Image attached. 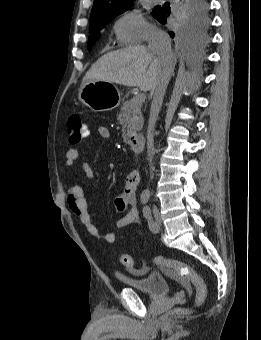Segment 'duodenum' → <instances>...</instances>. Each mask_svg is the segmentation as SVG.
Here are the masks:
<instances>
[{
    "instance_id": "duodenum-1",
    "label": "duodenum",
    "mask_w": 261,
    "mask_h": 340,
    "mask_svg": "<svg viewBox=\"0 0 261 340\" xmlns=\"http://www.w3.org/2000/svg\"><path fill=\"white\" fill-rule=\"evenodd\" d=\"M144 145L145 141L142 135L132 136L129 140L130 149L135 155H141L143 153Z\"/></svg>"
}]
</instances>
